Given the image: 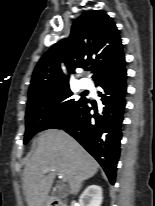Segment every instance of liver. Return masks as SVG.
I'll return each mask as SVG.
<instances>
[{
  "label": "liver",
  "instance_id": "1",
  "mask_svg": "<svg viewBox=\"0 0 155 206\" xmlns=\"http://www.w3.org/2000/svg\"><path fill=\"white\" fill-rule=\"evenodd\" d=\"M36 143L35 153L24 169L23 188L28 206L45 203L56 171L66 177L71 194L77 193L82 182L98 171L97 161L64 131H44ZM46 169L50 171L46 172Z\"/></svg>",
  "mask_w": 155,
  "mask_h": 206
}]
</instances>
